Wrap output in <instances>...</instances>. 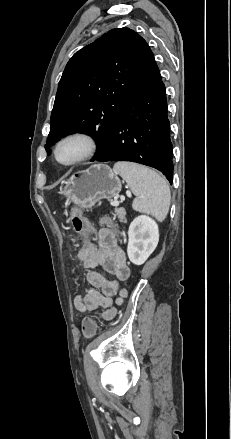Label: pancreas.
<instances>
[{
    "label": "pancreas",
    "instance_id": "obj_1",
    "mask_svg": "<svg viewBox=\"0 0 231 439\" xmlns=\"http://www.w3.org/2000/svg\"><path fill=\"white\" fill-rule=\"evenodd\" d=\"M115 212H116V214H117V216L119 218V221L121 223H126L127 222V220L125 218L126 212H125L124 209H116Z\"/></svg>",
    "mask_w": 231,
    "mask_h": 439
}]
</instances>
